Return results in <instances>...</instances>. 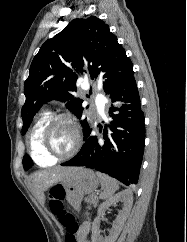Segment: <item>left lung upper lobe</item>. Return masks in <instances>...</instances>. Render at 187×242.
I'll use <instances>...</instances> for the list:
<instances>
[{
	"label": "left lung upper lobe",
	"instance_id": "1",
	"mask_svg": "<svg viewBox=\"0 0 187 242\" xmlns=\"http://www.w3.org/2000/svg\"><path fill=\"white\" fill-rule=\"evenodd\" d=\"M133 74L131 60L104 21L95 16L72 20L41 46L31 63L24 84L26 101L21 112L22 134L27 132L42 104L53 99L66 102V107L81 118L83 100L72 95L78 77L99 80L105 93L110 95ZM81 124L85 139L90 127L86 120ZM32 165L25 155L24 169L28 170Z\"/></svg>",
	"mask_w": 187,
	"mask_h": 242
}]
</instances>
